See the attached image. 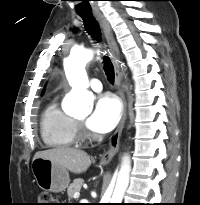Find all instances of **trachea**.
I'll use <instances>...</instances> for the list:
<instances>
[{
  "label": "trachea",
  "mask_w": 200,
  "mask_h": 205,
  "mask_svg": "<svg viewBox=\"0 0 200 205\" xmlns=\"http://www.w3.org/2000/svg\"><path fill=\"white\" fill-rule=\"evenodd\" d=\"M79 16L83 19L86 31L96 40H100V28L92 13H79ZM104 71L109 82H114V67L110 60L104 58Z\"/></svg>",
  "instance_id": "trachea-1"
}]
</instances>
